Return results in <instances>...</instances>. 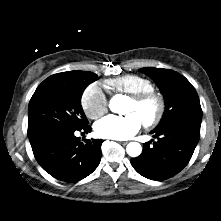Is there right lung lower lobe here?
Listing matches in <instances>:
<instances>
[{
  "label": "right lung lower lobe",
  "mask_w": 221,
  "mask_h": 221,
  "mask_svg": "<svg viewBox=\"0 0 221 221\" xmlns=\"http://www.w3.org/2000/svg\"><path fill=\"white\" fill-rule=\"evenodd\" d=\"M91 131L90 126L74 129L55 127L29 137L35 159L54 178L77 182L91 174L101 159V139L80 141L74 132Z\"/></svg>",
  "instance_id": "1"
}]
</instances>
